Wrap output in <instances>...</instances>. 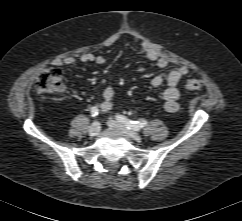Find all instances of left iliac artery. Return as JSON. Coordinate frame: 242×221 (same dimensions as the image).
Here are the masks:
<instances>
[{
  "instance_id": "left-iliac-artery-1",
  "label": "left iliac artery",
  "mask_w": 242,
  "mask_h": 221,
  "mask_svg": "<svg viewBox=\"0 0 242 221\" xmlns=\"http://www.w3.org/2000/svg\"><path fill=\"white\" fill-rule=\"evenodd\" d=\"M116 119L125 124V126H127L128 129H133L135 131H139L141 128L145 127L147 125V121L146 120H140V121H132L128 118H126L125 116L122 115H116Z\"/></svg>"
}]
</instances>
